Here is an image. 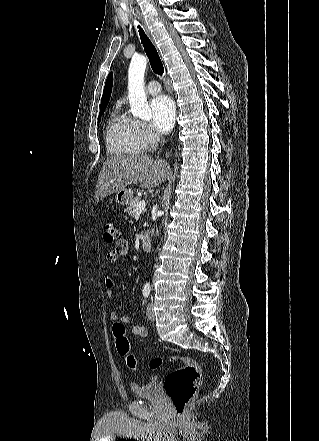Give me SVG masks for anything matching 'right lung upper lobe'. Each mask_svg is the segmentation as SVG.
<instances>
[{
    "instance_id": "right-lung-upper-lobe-1",
    "label": "right lung upper lobe",
    "mask_w": 319,
    "mask_h": 441,
    "mask_svg": "<svg viewBox=\"0 0 319 441\" xmlns=\"http://www.w3.org/2000/svg\"><path fill=\"white\" fill-rule=\"evenodd\" d=\"M112 84H113V74L110 73L108 75L106 83H105L100 108L107 106L109 99H110V96H111V92H112Z\"/></svg>"
}]
</instances>
